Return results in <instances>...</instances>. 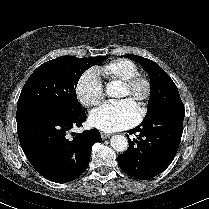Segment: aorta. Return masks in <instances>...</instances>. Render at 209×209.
<instances>
[{
  "mask_svg": "<svg viewBox=\"0 0 209 209\" xmlns=\"http://www.w3.org/2000/svg\"><path fill=\"white\" fill-rule=\"evenodd\" d=\"M118 93V88L115 86H109L106 89V94L110 97H115ZM112 148L117 152H124L128 148V140L123 135H114L110 139Z\"/></svg>",
  "mask_w": 209,
  "mask_h": 209,
  "instance_id": "1",
  "label": "aorta"
}]
</instances>
